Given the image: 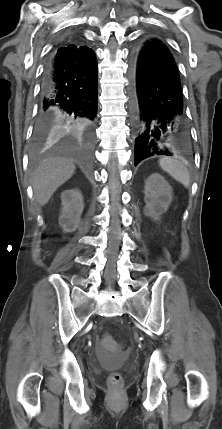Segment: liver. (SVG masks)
I'll list each match as a JSON object with an SVG mask.
<instances>
[{
    "mask_svg": "<svg viewBox=\"0 0 222 429\" xmlns=\"http://www.w3.org/2000/svg\"><path fill=\"white\" fill-rule=\"evenodd\" d=\"M75 168L68 158L54 157L42 161L31 179L36 202L41 206L47 204L53 193L72 177Z\"/></svg>",
    "mask_w": 222,
    "mask_h": 429,
    "instance_id": "liver-1",
    "label": "liver"
}]
</instances>
